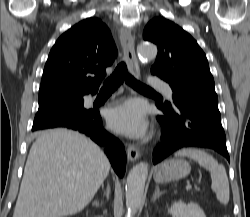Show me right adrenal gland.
<instances>
[{
  "label": "right adrenal gland",
  "mask_w": 250,
  "mask_h": 217,
  "mask_svg": "<svg viewBox=\"0 0 250 217\" xmlns=\"http://www.w3.org/2000/svg\"><path fill=\"white\" fill-rule=\"evenodd\" d=\"M109 194H110V186L109 184L107 185V190H106V198H109ZM93 205L96 207L102 206V203H99L98 201H94Z\"/></svg>",
  "instance_id": "1"
}]
</instances>
